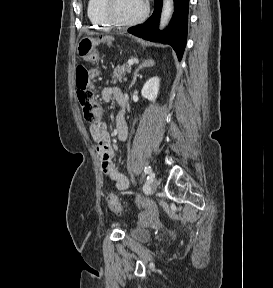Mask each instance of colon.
Wrapping results in <instances>:
<instances>
[{"label":"colon","mask_w":273,"mask_h":288,"mask_svg":"<svg viewBox=\"0 0 273 288\" xmlns=\"http://www.w3.org/2000/svg\"><path fill=\"white\" fill-rule=\"evenodd\" d=\"M79 57L85 62H93L97 59V52L91 39L84 38L78 45ZM95 75L94 70H88L84 66H78L75 71V82L77 87V100L82 110L85 121L96 123L100 118V109L95 101L91 79ZM106 202L109 209L120 215L122 206L114 193H108Z\"/></svg>","instance_id":"colon-1"}]
</instances>
